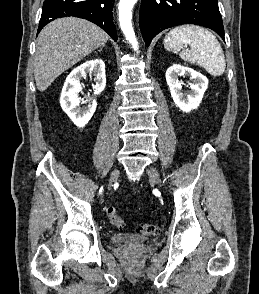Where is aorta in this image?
Instances as JSON below:
<instances>
[{"label":"aorta","mask_w":259,"mask_h":294,"mask_svg":"<svg viewBox=\"0 0 259 294\" xmlns=\"http://www.w3.org/2000/svg\"><path fill=\"white\" fill-rule=\"evenodd\" d=\"M136 2L137 0H120L118 5L120 28L134 50H138V43L132 26V9Z\"/></svg>","instance_id":"obj_1"}]
</instances>
